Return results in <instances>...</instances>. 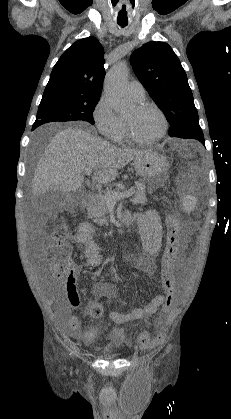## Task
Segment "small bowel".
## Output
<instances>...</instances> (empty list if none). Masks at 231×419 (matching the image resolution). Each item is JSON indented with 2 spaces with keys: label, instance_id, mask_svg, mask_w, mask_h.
Returning a JSON list of instances; mask_svg holds the SVG:
<instances>
[{
  "label": "small bowel",
  "instance_id": "1",
  "mask_svg": "<svg viewBox=\"0 0 231 419\" xmlns=\"http://www.w3.org/2000/svg\"><path fill=\"white\" fill-rule=\"evenodd\" d=\"M134 221L138 223L142 236V245L145 252L144 265L150 269L153 266L155 255L160 251L162 243V224L159 214L155 210H149L145 213L135 215ZM76 242L83 250V267H99L103 265L104 259L99 252L98 245L95 241V228L92 223L83 221L78 228ZM184 247V244L182 245ZM75 277V275H74ZM64 281V280H62ZM65 284V282H64ZM64 292L73 307L80 305V298L77 292L76 284L73 287L64 285ZM58 293L59 289L55 288ZM97 296L99 298L114 299L121 303L118 299L116 289L111 283H100L96 287ZM164 295H157L150 299L145 305L133 308L127 313L112 311L109 317L115 324L121 325L134 320H139L147 316L155 314L163 302ZM96 303L89 304L90 315L91 308ZM61 329L70 337L85 343H92L97 338V329L90 327L82 330L80 319L76 316H69L60 323Z\"/></svg>",
  "mask_w": 231,
  "mask_h": 419
}]
</instances>
